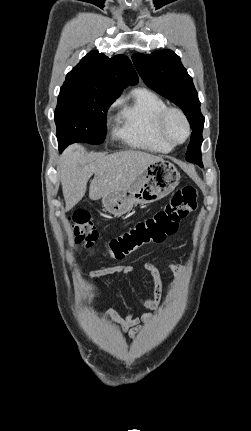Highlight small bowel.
<instances>
[{"mask_svg":"<svg viewBox=\"0 0 251 431\" xmlns=\"http://www.w3.org/2000/svg\"><path fill=\"white\" fill-rule=\"evenodd\" d=\"M168 266L176 271V282L180 279V274L184 271V267L176 262H168ZM146 270L150 273L154 280V287L152 297L148 299H139V305L146 309L147 312L141 316L136 315L134 312H129L127 315L122 316L114 309H108L101 313L102 316L111 319L114 324L129 337L134 338L142 329V324L149 323L154 315L160 311L171 299L175 289H173L164 300H162V280L157 267L151 263H145ZM134 273V267L128 264H118L94 270L90 273L91 279L101 278L108 275L120 274L127 276Z\"/></svg>","mask_w":251,"mask_h":431,"instance_id":"c3829d8e","label":"small bowel"}]
</instances>
